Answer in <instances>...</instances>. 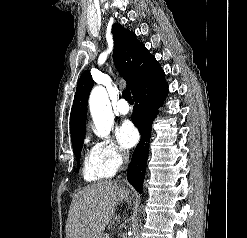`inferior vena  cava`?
Wrapping results in <instances>:
<instances>
[{"label":"inferior vena cava","mask_w":247,"mask_h":238,"mask_svg":"<svg viewBox=\"0 0 247 238\" xmlns=\"http://www.w3.org/2000/svg\"><path fill=\"white\" fill-rule=\"evenodd\" d=\"M122 156H123V160H124L125 164H127L129 162V153H128V151H123L122 152Z\"/></svg>","instance_id":"inferior-vena-cava-1"}]
</instances>
